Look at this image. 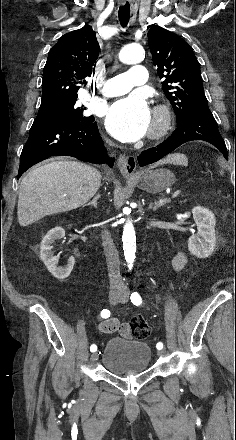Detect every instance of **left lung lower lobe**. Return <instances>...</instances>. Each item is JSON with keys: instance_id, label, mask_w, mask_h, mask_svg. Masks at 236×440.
<instances>
[{"instance_id": "0a47b994", "label": "left lung lower lobe", "mask_w": 236, "mask_h": 440, "mask_svg": "<svg viewBox=\"0 0 236 440\" xmlns=\"http://www.w3.org/2000/svg\"><path fill=\"white\" fill-rule=\"evenodd\" d=\"M193 140L209 142L228 159L225 142L209 107L200 106L194 108L180 124H177V129L167 140L157 147L143 151L138 156L139 165L146 166L156 162L183 143Z\"/></svg>"}]
</instances>
